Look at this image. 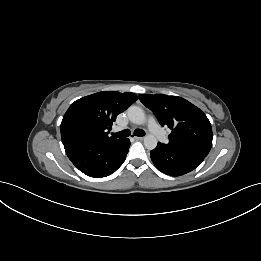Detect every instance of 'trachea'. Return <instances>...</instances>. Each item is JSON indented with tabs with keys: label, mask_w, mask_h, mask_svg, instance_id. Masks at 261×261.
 Instances as JSON below:
<instances>
[{
	"label": "trachea",
	"mask_w": 261,
	"mask_h": 261,
	"mask_svg": "<svg viewBox=\"0 0 261 261\" xmlns=\"http://www.w3.org/2000/svg\"><path fill=\"white\" fill-rule=\"evenodd\" d=\"M112 135L117 138H125L130 135V131L128 129H125V130L117 132V133H112ZM134 135L142 137L145 135V132L142 129H136L134 131Z\"/></svg>",
	"instance_id": "3493384b"
}]
</instances>
